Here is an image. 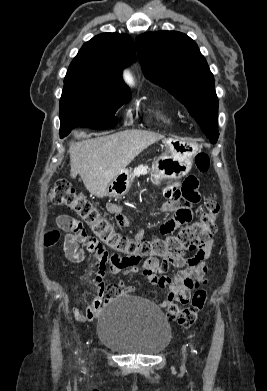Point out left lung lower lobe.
<instances>
[{"label": "left lung lower lobe", "instance_id": "left-lung-lower-lobe-1", "mask_svg": "<svg viewBox=\"0 0 267 391\" xmlns=\"http://www.w3.org/2000/svg\"><path fill=\"white\" fill-rule=\"evenodd\" d=\"M205 134H206V136L210 139V141L212 142V143H214L213 142V139H212V135L209 133V131H205Z\"/></svg>", "mask_w": 267, "mask_h": 391}]
</instances>
